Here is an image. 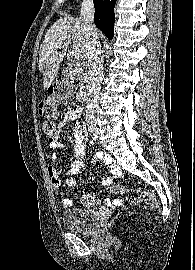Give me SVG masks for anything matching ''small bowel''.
I'll list each match as a JSON object with an SVG mask.
<instances>
[{"instance_id":"small-bowel-1","label":"small bowel","mask_w":195,"mask_h":270,"mask_svg":"<svg viewBox=\"0 0 195 270\" xmlns=\"http://www.w3.org/2000/svg\"><path fill=\"white\" fill-rule=\"evenodd\" d=\"M82 109L81 108H72L66 111L60 122L57 124L55 131L52 135L49 136V146L52 150L51 161L47 165L48 174L51 179L52 185L56 189L61 188V177L64 176V183L67 187H73L76 184L75 179L72 177L77 174L84 166L83 157L85 155V145H84V136H83V127L81 123ZM74 123L72 129V135L74 137V151L77 159L72 163L71 167L67 171H63L57 167L60 163L59 155L62 151L65 150V145L60 141L59 136L63 128L68 123ZM104 161L109 168L111 176H108L103 179V185L110 188L113 183V178L121 174V169L112 161L109 156L103 154H96L93 158V163L95 165L100 164ZM82 203L86 205H92L96 203V198L94 195L86 193L81 198ZM105 204L107 206H120L121 201L119 199H106ZM65 208H69L73 205V200L70 198H65L62 201Z\"/></svg>"}]
</instances>
